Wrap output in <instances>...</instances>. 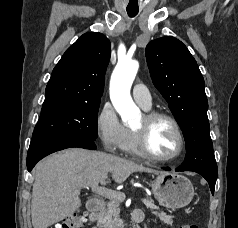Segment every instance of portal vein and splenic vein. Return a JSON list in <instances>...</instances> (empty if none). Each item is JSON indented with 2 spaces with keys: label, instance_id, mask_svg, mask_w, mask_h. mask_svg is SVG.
<instances>
[{
  "label": "portal vein and splenic vein",
  "instance_id": "18ae733b",
  "mask_svg": "<svg viewBox=\"0 0 238 228\" xmlns=\"http://www.w3.org/2000/svg\"><path fill=\"white\" fill-rule=\"evenodd\" d=\"M88 188V187H85ZM95 194L105 197L110 200H124L125 194L122 192L112 191L105 187H99L98 185L91 188ZM143 204L150 209H158L152 202L147 199H141Z\"/></svg>",
  "mask_w": 238,
  "mask_h": 228
}]
</instances>
